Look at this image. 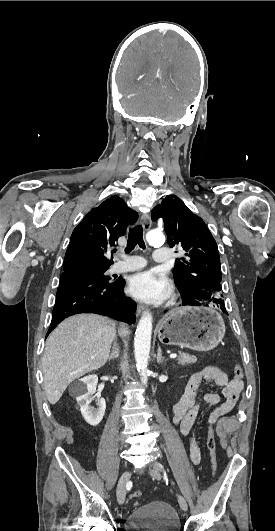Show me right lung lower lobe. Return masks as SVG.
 <instances>
[{
  "label": "right lung lower lobe",
  "instance_id": "obj_1",
  "mask_svg": "<svg viewBox=\"0 0 275 531\" xmlns=\"http://www.w3.org/2000/svg\"><path fill=\"white\" fill-rule=\"evenodd\" d=\"M124 285L123 279L109 282L87 272L63 273L46 337L62 320L78 313H96L135 323L136 303L124 295Z\"/></svg>",
  "mask_w": 275,
  "mask_h": 531
}]
</instances>
